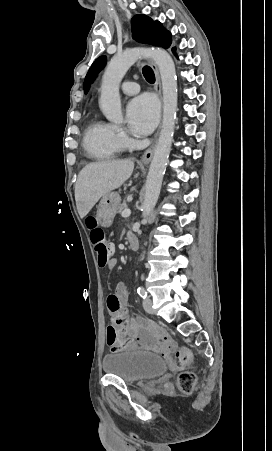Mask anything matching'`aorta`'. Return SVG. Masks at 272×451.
<instances>
[{
  "label": "aorta",
  "instance_id": "aorta-1",
  "mask_svg": "<svg viewBox=\"0 0 272 451\" xmlns=\"http://www.w3.org/2000/svg\"><path fill=\"white\" fill-rule=\"evenodd\" d=\"M141 58H152L157 64L162 82L163 94V120L159 140L154 150V156L150 164L145 196L142 206L143 220L147 222L152 214L159 198L161 184L170 154L171 144L175 128L177 114V76L175 64L165 50H149V48H132L123 52L120 56H113L108 62L102 76L100 88L99 108L105 118L114 124H122L121 100L119 96V84L127 70Z\"/></svg>",
  "mask_w": 272,
  "mask_h": 451
}]
</instances>
